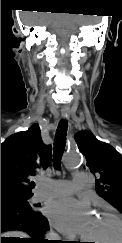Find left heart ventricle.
Returning <instances> with one entry per match:
<instances>
[{"label": "left heart ventricle", "mask_w": 122, "mask_h": 243, "mask_svg": "<svg viewBox=\"0 0 122 243\" xmlns=\"http://www.w3.org/2000/svg\"><path fill=\"white\" fill-rule=\"evenodd\" d=\"M117 233V225L111 218L97 215L91 218L83 237L94 240V243H112Z\"/></svg>", "instance_id": "obj_1"}]
</instances>
